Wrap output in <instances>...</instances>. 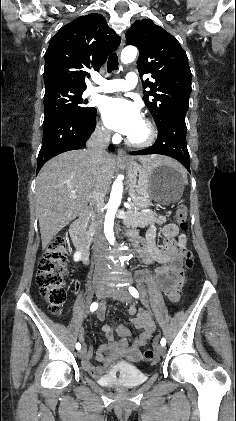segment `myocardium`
Here are the masks:
<instances>
[{"label": "myocardium", "mask_w": 236, "mask_h": 421, "mask_svg": "<svg viewBox=\"0 0 236 421\" xmlns=\"http://www.w3.org/2000/svg\"><path fill=\"white\" fill-rule=\"evenodd\" d=\"M143 122L145 123L147 127V136L143 140H133L130 137L126 138V142L128 145L136 148H146L150 147L154 144V142L157 139L158 131L156 126L153 124L151 120L148 118H144Z\"/></svg>", "instance_id": "obj_1"}]
</instances>
